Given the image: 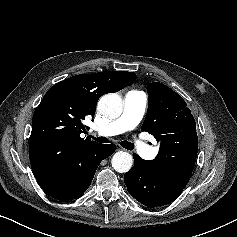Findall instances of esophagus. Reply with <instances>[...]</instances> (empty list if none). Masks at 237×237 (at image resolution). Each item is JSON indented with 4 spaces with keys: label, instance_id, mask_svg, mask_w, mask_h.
I'll return each mask as SVG.
<instances>
[{
    "label": "esophagus",
    "instance_id": "esophagus-1",
    "mask_svg": "<svg viewBox=\"0 0 237 237\" xmlns=\"http://www.w3.org/2000/svg\"><path fill=\"white\" fill-rule=\"evenodd\" d=\"M117 150H125V149L123 147H121L120 145H118Z\"/></svg>",
    "mask_w": 237,
    "mask_h": 237
}]
</instances>
